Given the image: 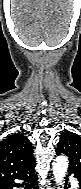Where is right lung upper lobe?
<instances>
[{"mask_svg": "<svg viewBox=\"0 0 81 189\" xmlns=\"http://www.w3.org/2000/svg\"><path fill=\"white\" fill-rule=\"evenodd\" d=\"M36 164L33 147L21 133H14L0 142V183L11 180Z\"/></svg>", "mask_w": 81, "mask_h": 189, "instance_id": "cb5924a9", "label": "right lung upper lobe"}]
</instances>
